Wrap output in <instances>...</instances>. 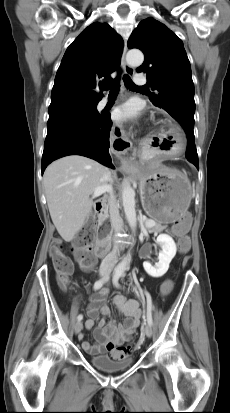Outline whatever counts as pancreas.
Returning a JSON list of instances; mask_svg holds the SVG:
<instances>
[{"label": "pancreas", "mask_w": 230, "mask_h": 413, "mask_svg": "<svg viewBox=\"0 0 230 413\" xmlns=\"http://www.w3.org/2000/svg\"><path fill=\"white\" fill-rule=\"evenodd\" d=\"M107 214V210L105 209V215ZM104 215V216H105ZM151 221V220H150ZM167 228V226L166 225H161V224H159V223H155V225L153 226V228H152V231H154V232H160V231H162V230H164V229H166Z\"/></svg>", "instance_id": "cf45deb5"}]
</instances>
